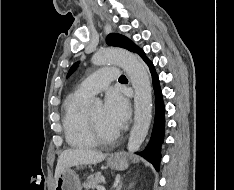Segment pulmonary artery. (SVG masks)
Masks as SVG:
<instances>
[{"label":"pulmonary artery","instance_id":"pulmonary-artery-1","mask_svg":"<svg viewBox=\"0 0 234 190\" xmlns=\"http://www.w3.org/2000/svg\"><path fill=\"white\" fill-rule=\"evenodd\" d=\"M118 69L112 66H103L81 82L77 92L93 96L102 91L109 83L118 79Z\"/></svg>","mask_w":234,"mask_h":190}]
</instances>
